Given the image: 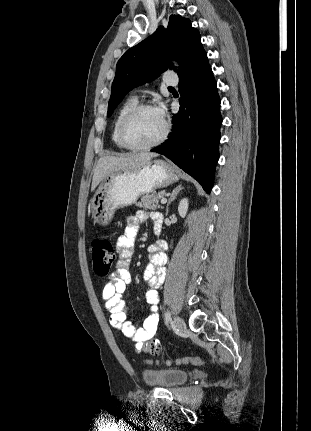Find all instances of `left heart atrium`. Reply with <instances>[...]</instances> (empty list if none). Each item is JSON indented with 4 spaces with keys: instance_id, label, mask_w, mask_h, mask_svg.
<instances>
[{
    "instance_id": "1",
    "label": "left heart atrium",
    "mask_w": 311,
    "mask_h": 431,
    "mask_svg": "<svg viewBox=\"0 0 311 431\" xmlns=\"http://www.w3.org/2000/svg\"><path fill=\"white\" fill-rule=\"evenodd\" d=\"M155 111L158 113V115L161 117V119L165 120L166 115V108L162 102H158L157 105L154 107Z\"/></svg>"
}]
</instances>
